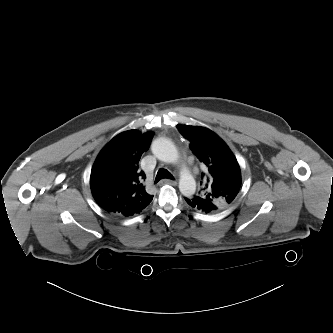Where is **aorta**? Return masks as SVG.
I'll return each instance as SVG.
<instances>
[{
  "label": "aorta",
  "mask_w": 333,
  "mask_h": 333,
  "mask_svg": "<svg viewBox=\"0 0 333 333\" xmlns=\"http://www.w3.org/2000/svg\"><path fill=\"white\" fill-rule=\"evenodd\" d=\"M152 152L160 161L166 163H175L179 159L176 146L167 138L161 137L154 140ZM179 190L186 197L193 195L196 191V181L188 171H183L180 174Z\"/></svg>",
  "instance_id": "1"
}]
</instances>
